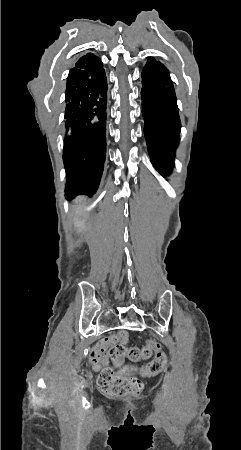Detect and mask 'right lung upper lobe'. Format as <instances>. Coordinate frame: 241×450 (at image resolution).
<instances>
[{
  "label": "right lung upper lobe",
  "mask_w": 241,
  "mask_h": 450,
  "mask_svg": "<svg viewBox=\"0 0 241 450\" xmlns=\"http://www.w3.org/2000/svg\"><path fill=\"white\" fill-rule=\"evenodd\" d=\"M99 61V58L92 54V53H86L77 58L75 62V67H83L85 65H92Z\"/></svg>",
  "instance_id": "1"
}]
</instances>
